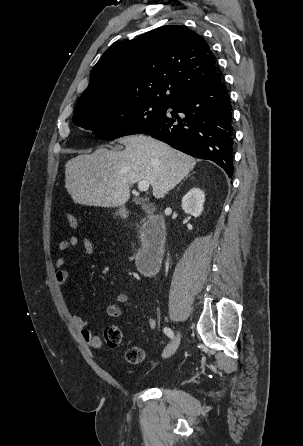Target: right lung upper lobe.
I'll return each instance as SVG.
<instances>
[{
	"mask_svg": "<svg viewBox=\"0 0 303 446\" xmlns=\"http://www.w3.org/2000/svg\"><path fill=\"white\" fill-rule=\"evenodd\" d=\"M220 80L203 38L183 26H162L111 46L93 67L74 114L139 100L171 106L184 94Z\"/></svg>",
	"mask_w": 303,
	"mask_h": 446,
	"instance_id": "1",
	"label": "right lung upper lobe"
}]
</instances>
